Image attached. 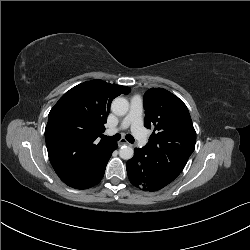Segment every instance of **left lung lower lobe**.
Listing matches in <instances>:
<instances>
[{
    "label": "left lung lower lobe",
    "instance_id": "1",
    "mask_svg": "<svg viewBox=\"0 0 250 250\" xmlns=\"http://www.w3.org/2000/svg\"><path fill=\"white\" fill-rule=\"evenodd\" d=\"M130 182L143 191H157L171 183L183 170L165 157H154L146 146L134 149L126 163Z\"/></svg>",
    "mask_w": 250,
    "mask_h": 250
}]
</instances>
